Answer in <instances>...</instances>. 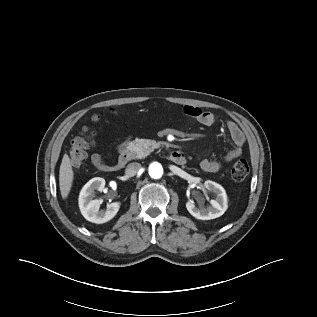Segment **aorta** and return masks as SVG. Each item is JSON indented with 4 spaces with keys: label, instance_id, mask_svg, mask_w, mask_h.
I'll use <instances>...</instances> for the list:
<instances>
[{
    "label": "aorta",
    "instance_id": "1",
    "mask_svg": "<svg viewBox=\"0 0 317 317\" xmlns=\"http://www.w3.org/2000/svg\"><path fill=\"white\" fill-rule=\"evenodd\" d=\"M149 175L154 179H159L163 175V167L157 162H153L149 166Z\"/></svg>",
    "mask_w": 317,
    "mask_h": 317
}]
</instances>
